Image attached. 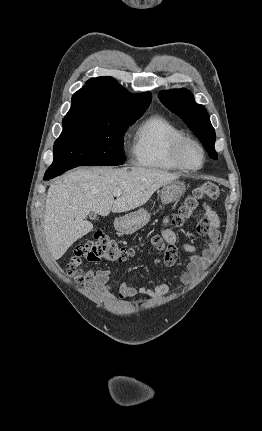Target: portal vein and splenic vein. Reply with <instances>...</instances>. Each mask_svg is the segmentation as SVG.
Listing matches in <instances>:
<instances>
[{
  "mask_svg": "<svg viewBox=\"0 0 262 431\" xmlns=\"http://www.w3.org/2000/svg\"><path fill=\"white\" fill-rule=\"evenodd\" d=\"M122 194V192L120 190H116L113 192V196L115 197H119Z\"/></svg>",
  "mask_w": 262,
  "mask_h": 431,
  "instance_id": "obj_1",
  "label": "portal vein and splenic vein"
}]
</instances>
